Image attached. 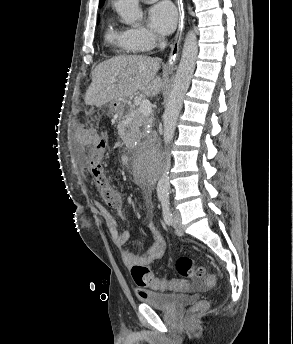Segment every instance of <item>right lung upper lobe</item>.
<instances>
[{"label":"right lung upper lobe","mask_w":293,"mask_h":344,"mask_svg":"<svg viewBox=\"0 0 293 344\" xmlns=\"http://www.w3.org/2000/svg\"><path fill=\"white\" fill-rule=\"evenodd\" d=\"M104 1H105V0H100L99 6H100V5H103Z\"/></svg>","instance_id":"right-lung-upper-lobe-1"}]
</instances>
